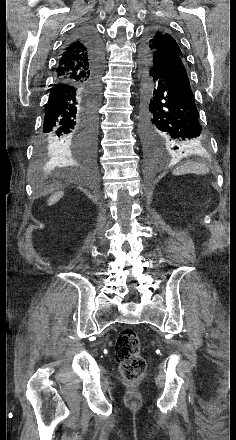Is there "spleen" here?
I'll use <instances>...</instances> for the list:
<instances>
[{
	"label": "spleen",
	"mask_w": 236,
	"mask_h": 440,
	"mask_svg": "<svg viewBox=\"0 0 236 440\" xmlns=\"http://www.w3.org/2000/svg\"><path fill=\"white\" fill-rule=\"evenodd\" d=\"M208 172L209 168L207 165L205 163L198 162H187L184 165L176 167L173 171L175 175L184 173L207 174Z\"/></svg>",
	"instance_id": "3e777b00"
}]
</instances>
